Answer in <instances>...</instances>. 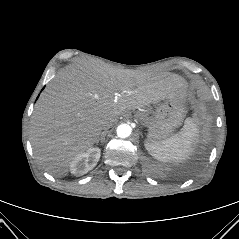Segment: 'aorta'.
I'll use <instances>...</instances> for the list:
<instances>
[{
	"instance_id": "762f6f07",
	"label": "aorta",
	"mask_w": 239,
	"mask_h": 239,
	"mask_svg": "<svg viewBox=\"0 0 239 239\" xmlns=\"http://www.w3.org/2000/svg\"><path fill=\"white\" fill-rule=\"evenodd\" d=\"M116 131L118 137L127 138L131 135L132 128L128 124H120Z\"/></svg>"
}]
</instances>
